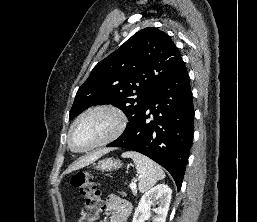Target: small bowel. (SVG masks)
Masks as SVG:
<instances>
[{
    "label": "small bowel",
    "instance_id": "c3829d8e",
    "mask_svg": "<svg viewBox=\"0 0 257 222\" xmlns=\"http://www.w3.org/2000/svg\"><path fill=\"white\" fill-rule=\"evenodd\" d=\"M105 210L110 214L108 222H127L131 214V205L115 195L106 198Z\"/></svg>",
    "mask_w": 257,
    "mask_h": 222
}]
</instances>
